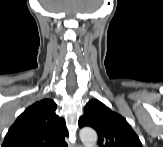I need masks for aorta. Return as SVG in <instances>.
Listing matches in <instances>:
<instances>
[{
	"instance_id": "obj_1",
	"label": "aorta",
	"mask_w": 163,
	"mask_h": 147,
	"mask_svg": "<svg viewBox=\"0 0 163 147\" xmlns=\"http://www.w3.org/2000/svg\"><path fill=\"white\" fill-rule=\"evenodd\" d=\"M80 139L85 147H94L97 142V134L95 130L89 127L82 128L79 132Z\"/></svg>"
}]
</instances>
